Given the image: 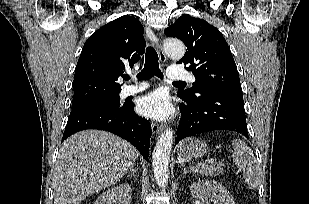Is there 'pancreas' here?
I'll return each mask as SVG.
<instances>
[{
	"label": "pancreas",
	"instance_id": "pancreas-1",
	"mask_svg": "<svg viewBox=\"0 0 309 204\" xmlns=\"http://www.w3.org/2000/svg\"><path fill=\"white\" fill-rule=\"evenodd\" d=\"M193 170L201 175L213 176L224 172V169L216 166L214 163H203L196 165Z\"/></svg>",
	"mask_w": 309,
	"mask_h": 204
}]
</instances>
